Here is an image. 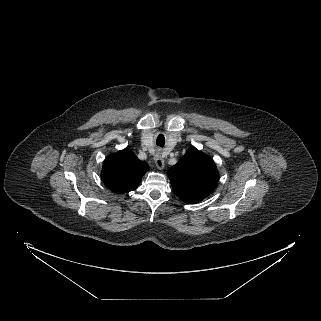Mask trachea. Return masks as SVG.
<instances>
[{
  "instance_id": "1",
  "label": "trachea",
  "mask_w": 321,
  "mask_h": 321,
  "mask_svg": "<svg viewBox=\"0 0 321 321\" xmlns=\"http://www.w3.org/2000/svg\"><path fill=\"white\" fill-rule=\"evenodd\" d=\"M157 146L163 147L165 144V139L162 135H160L156 140Z\"/></svg>"
}]
</instances>
